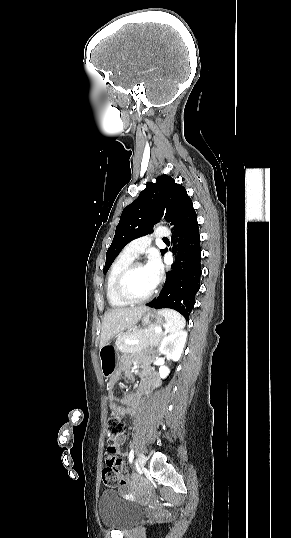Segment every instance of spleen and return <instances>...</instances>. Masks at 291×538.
<instances>
[{"instance_id": "obj_1", "label": "spleen", "mask_w": 291, "mask_h": 538, "mask_svg": "<svg viewBox=\"0 0 291 538\" xmlns=\"http://www.w3.org/2000/svg\"><path fill=\"white\" fill-rule=\"evenodd\" d=\"M159 313L165 317L170 332H179L184 328L185 318L179 312L172 309H162Z\"/></svg>"}]
</instances>
